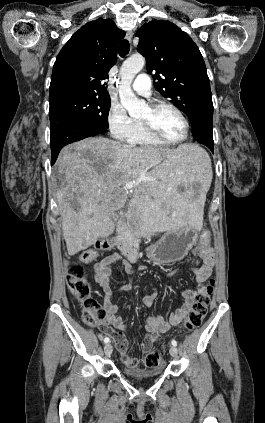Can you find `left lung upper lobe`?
I'll return each instance as SVG.
<instances>
[{
  "instance_id": "left-lung-upper-lobe-1",
  "label": "left lung upper lobe",
  "mask_w": 265,
  "mask_h": 423,
  "mask_svg": "<svg viewBox=\"0 0 265 423\" xmlns=\"http://www.w3.org/2000/svg\"><path fill=\"white\" fill-rule=\"evenodd\" d=\"M137 50L146 58L155 88L195 123L197 112L212 102L210 82L199 48L179 27L153 20L137 31Z\"/></svg>"
}]
</instances>
